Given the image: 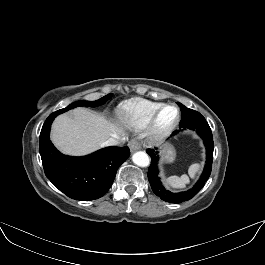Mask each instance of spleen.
<instances>
[{
    "mask_svg": "<svg viewBox=\"0 0 265 265\" xmlns=\"http://www.w3.org/2000/svg\"><path fill=\"white\" fill-rule=\"evenodd\" d=\"M200 165L198 163L192 164L188 169V174L191 178H194L195 175L199 172ZM189 182V177L187 175L171 176L167 179V183L173 188H183Z\"/></svg>",
    "mask_w": 265,
    "mask_h": 265,
    "instance_id": "spleen-1",
    "label": "spleen"
}]
</instances>
